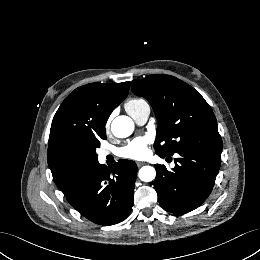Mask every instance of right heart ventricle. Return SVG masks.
Instances as JSON below:
<instances>
[{
  "label": "right heart ventricle",
  "instance_id": "obj_1",
  "mask_svg": "<svg viewBox=\"0 0 260 260\" xmlns=\"http://www.w3.org/2000/svg\"><path fill=\"white\" fill-rule=\"evenodd\" d=\"M146 104V101L141 98H132L128 100L125 104L126 109H136L142 105Z\"/></svg>",
  "mask_w": 260,
  "mask_h": 260
}]
</instances>
